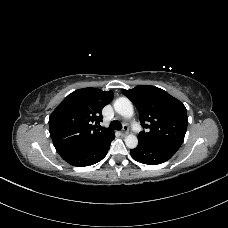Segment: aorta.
I'll return each mask as SVG.
<instances>
[{
	"label": "aorta",
	"mask_w": 228,
	"mask_h": 228,
	"mask_svg": "<svg viewBox=\"0 0 228 228\" xmlns=\"http://www.w3.org/2000/svg\"><path fill=\"white\" fill-rule=\"evenodd\" d=\"M115 111L125 118H132L134 109L131 101L126 97H120L114 102ZM125 144L128 148L134 149L138 145V138L134 134H129L125 138Z\"/></svg>",
	"instance_id": "obj_1"
}]
</instances>
